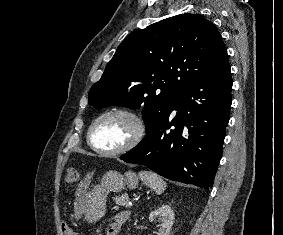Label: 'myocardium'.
<instances>
[{
    "instance_id": "f54148a6",
    "label": "myocardium",
    "mask_w": 283,
    "mask_h": 235,
    "mask_svg": "<svg viewBox=\"0 0 283 235\" xmlns=\"http://www.w3.org/2000/svg\"><path fill=\"white\" fill-rule=\"evenodd\" d=\"M114 115H120V116H124L128 118L132 122L134 126V130H133V133L130 139L125 144H123L122 146L116 149L104 150V149L97 147L93 143V140H92L93 133H94L96 126L98 125L100 121H102L106 117L114 116ZM145 135H146V125H145L143 118L138 113H136L133 110L127 109V108H113V109H109V110L102 112L94 119V121L91 123L88 129L87 141L89 145L91 146V148L97 153L101 155H106V156H115V155L124 154V153H127L133 150L143 141Z\"/></svg>"
}]
</instances>
